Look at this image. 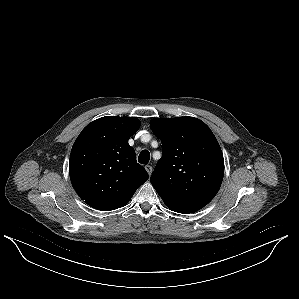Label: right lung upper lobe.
I'll return each mask as SVG.
<instances>
[{
	"label": "right lung upper lobe",
	"instance_id": "cb5924a9",
	"mask_svg": "<svg viewBox=\"0 0 299 299\" xmlns=\"http://www.w3.org/2000/svg\"><path fill=\"white\" fill-rule=\"evenodd\" d=\"M139 127L136 117L105 116L88 124L77 137L69 174L77 194L89 206L101 211L123 207L148 180L128 144Z\"/></svg>",
	"mask_w": 299,
	"mask_h": 299
}]
</instances>
